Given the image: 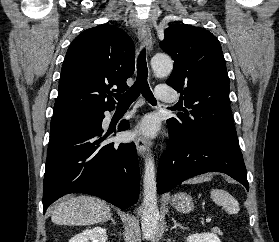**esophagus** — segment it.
<instances>
[{
	"label": "esophagus",
	"mask_w": 279,
	"mask_h": 242,
	"mask_svg": "<svg viewBox=\"0 0 279 242\" xmlns=\"http://www.w3.org/2000/svg\"><path fill=\"white\" fill-rule=\"evenodd\" d=\"M138 38L141 42V45L146 46L149 51L152 45V36L149 26L146 23L140 24L138 28ZM136 148L138 154L141 157H145L146 153L149 150L148 140L144 136H137L135 140Z\"/></svg>",
	"instance_id": "obj_1"
}]
</instances>
